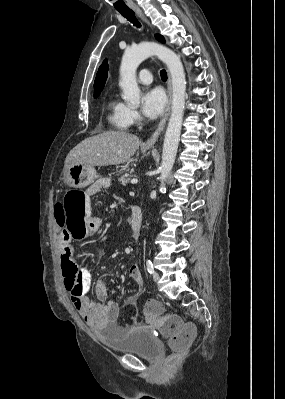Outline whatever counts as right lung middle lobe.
Segmentation results:
<instances>
[{
    "instance_id": "1",
    "label": "right lung middle lobe",
    "mask_w": 285,
    "mask_h": 399,
    "mask_svg": "<svg viewBox=\"0 0 285 399\" xmlns=\"http://www.w3.org/2000/svg\"><path fill=\"white\" fill-rule=\"evenodd\" d=\"M98 95H99V94H96V95H94V97L96 98V97H98Z\"/></svg>"
}]
</instances>
